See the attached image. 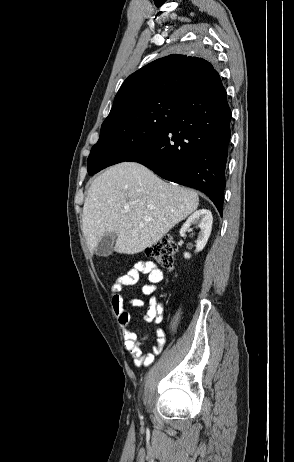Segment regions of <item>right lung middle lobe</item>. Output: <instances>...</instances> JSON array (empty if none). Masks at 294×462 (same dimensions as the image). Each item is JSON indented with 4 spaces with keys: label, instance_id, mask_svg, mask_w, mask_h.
Wrapping results in <instances>:
<instances>
[{
    "label": "right lung middle lobe",
    "instance_id": "right-lung-middle-lobe-1",
    "mask_svg": "<svg viewBox=\"0 0 294 462\" xmlns=\"http://www.w3.org/2000/svg\"><path fill=\"white\" fill-rule=\"evenodd\" d=\"M194 50L200 55H209L200 44L195 45ZM185 99L182 94L170 93L110 113L102 124L99 140L92 147L89 157L97 158L101 169L125 161L169 124Z\"/></svg>",
    "mask_w": 294,
    "mask_h": 462
}]
</instances>
